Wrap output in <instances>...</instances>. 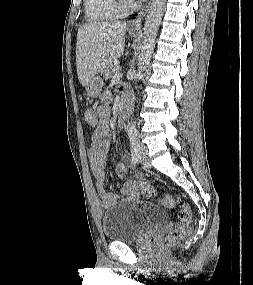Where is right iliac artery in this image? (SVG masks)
Returning a JSON list of instances; mask_svg holds the SVG:
<instances>
[{"instance_id": "obj_1", "label": "right iliac artery", "mask_w": 253, "mask_h": 285, "mask_svg": "<svg viewBox=\"0 0 253 285\" xmlns=\"http://www.w3.org/2000/svg\"><path fill=\"white\" fill-rule=\"evenodd\" d=\"M131 156L133 165L138 163V154H137V140L133 137L131 138Z\"/></svg>"}]
</instances>
